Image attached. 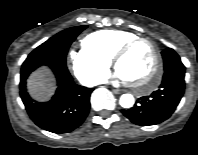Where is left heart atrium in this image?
Listing matches in <instances>:
<instances>
[{
	"mask_svg": "<svg viewBox=\"0 0 198 155\" xmlns=\"http://www.w3.org/2000/svg\"><path fill=\"white\" fill-rule=\"evenodd\" d=\"M114 78L120 81H128V79L118 69H116L114 73Z\"/></svg>",
	"mask_w": 198,
	"mask_h": 155,
	"instance_id": "obj_1",
	"label": "left heart atrium"
}]
</instances>
